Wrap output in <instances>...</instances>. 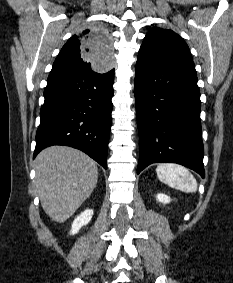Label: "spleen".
<instances>
[{"mask_svg": "<svg viewBox=\"0 0 233 283\" xmlns=\"http://www.w3.org/2000/svg\"><path fill=\"white\" fill-rule=\"evenodd\" d=\"M159 180L186 193L196 192L197 181L185 167L178 164H160L156 168Z\"/></svg>", "mask_w": 233, "mask_h": 283, "instance_id": "spleen-1", "label": "spleen"}]
</instances>
